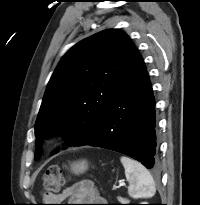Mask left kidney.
<instances>
[{"label": "left kidney", "instance_id": "5707ae66", "mask_svg": "<svg viewBox=\"0 0 200 205\" xmlns=\"http://www.w3.org/2000/svg\"><path fill=\"white\" fill-rule=\"evenodd\" d=\"M122 204H126L127 201H120ZM143 204H147V202H143Z\"/></svg>", "mask_w": 200, "mask_h": 205}]
</instances>
